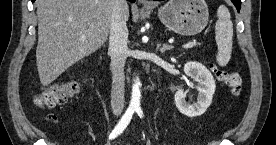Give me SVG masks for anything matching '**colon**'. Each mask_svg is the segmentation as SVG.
<instances>
[{
  "label": "colon",
  "instance_id": "obj_1",
  "mask_svg": "<svg viewBox=\"0 0 276 145\" xmlns=\"http://www.w3.org/2000/svg\"><path fill=\"white\" fill-rule=\"evenodd\" d=\"M210 68L217 79L229 87L233 95L240 94L242 79L238 72L221 70L214 64H211ZM77 92L78 85L74 82L66 81L42 90L37 94L35 103L41 109L54 108L64 105Z\"/></svg>",
  "mask_w": 276,
  "mask_h": 145
}]
</instances>
